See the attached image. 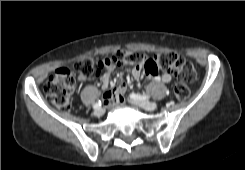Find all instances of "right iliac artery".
<instances>
[{
    "label": "right iliac artery",
    "instance_id": "1",
    "mask_svg": "<svg viewBox=\"0 0 245 170\" xmlns=\"http://www.w3.org/2000/svg\"><path fill=\"white\" fill-rule=\"evenodd\" d=\"M101 107V101H98L95 105L94 108L95 109H99Z\"/></svg>",
    "mask_w": 245,
    "mask_h": 170
}]
</instances>
